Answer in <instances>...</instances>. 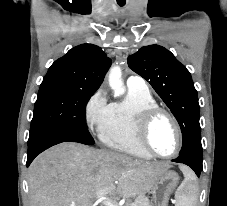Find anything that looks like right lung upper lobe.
Masks as SVG:
<instances>
[{"mask_svg": "<svg viewBox=\"0 0 227 206\" xmlns=\"http://www.w3.org/2000/svg\"><path fill=\"white\" fill-rule=\"evenodd\" d=\"M111 65V59L94 44L69 50L49 68L41 86H57L95 92Z\"/></svg>", "mask_w": 227, "mask_h": 206, "instance_id": "1", "label": "right lung upper lobe"}]
</instances>
